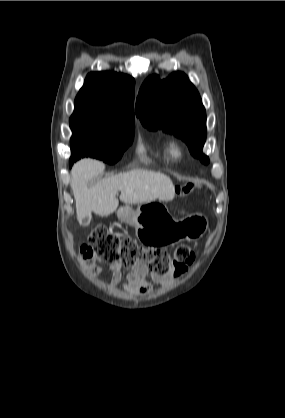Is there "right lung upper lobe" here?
Returning a JSON list of instances; mask_svg holds the SVG:
<instances>
[{"label":"right lung upper lobe","mask_w":285,"mask_h":418,"mask_svg":"<svg viewBox=\"0 0 285 418\" xmlns=\"http://www.w3.org/2000/svg\"><path fill=\"white\" fill-rule=\"evenodd\" d=\"M134 78L115 72H92L75 99L71 117L134 126Z\"/></svg>","instance_id":"right-lung-upper-lobe-1"}]
</instances>
